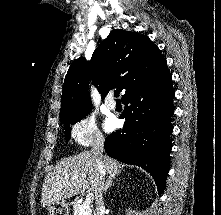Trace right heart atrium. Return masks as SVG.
<instances>
[{
    "label": "right heart atrium",
    "instance_id": "d8ad5b80",
    "mask_svg": "<svg viewBox=\"0 0 221 215\" xmlns=\"http://www.w3.org/2000/svg\"><path fill=\"white\" fill-rule=\"evenodd\" d=\"M71 136L74 142L80 146H89L102 140L93 115H86L78 119L72 126Z\"/></svg>",
    "mask_w": 221,
    "mask_h": 215
}]
</instances>
